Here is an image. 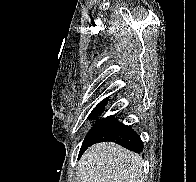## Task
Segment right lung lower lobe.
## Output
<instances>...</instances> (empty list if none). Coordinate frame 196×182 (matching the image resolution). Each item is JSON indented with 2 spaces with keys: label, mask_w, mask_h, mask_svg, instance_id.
Returning a JSON list of instances; mask_svg holds the SVG:
<instances>
[{
  "label": "right lung lower lobe",
  "mask_w": 196,
  "mask_h": 182,
  "mask_svg": "<svg viewBox=\"0 0 196 182\" xmlns=\"http://www.w3.org/2000/svg\"><path fill=\"white\" fill-rule=\"evenodd\" d=\"M105 141L115 142L138 154L141 153L143 149V142L140 136L130 126L122 123H116L104 130L89 146ZM83 152H81L80 155Z\"/></svg>",
  "instance_id": "98d812e1"
}]
</instances>
